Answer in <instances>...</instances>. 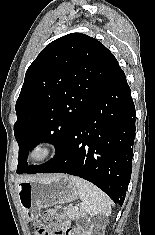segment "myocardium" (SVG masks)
I'll list each match as a JSON object with an SVG mask.
<instances>
[{
    "mask_svg": "<svg viewBox=\"0 0 155 235\" xmlns=\"http://www.w3.org/2000/svg\"><path fill=\"white\" fill-rule=\"evenodd\" d=\"M59 143L54 139H43L32 145L28 157L35 163H44L54 158L59 152Z\"/></svg>",
    "mask_w": 155,
    "mask_h": 235,
    "instance_id": "f54148a6",
    "label": "myocardium"
}]
</instances>
